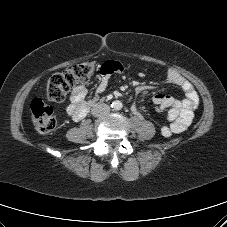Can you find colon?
<instances>
[{
    "label": "colon",
    "instance_id": "1",
    "mask_svg": "<svg viewBox=\"0 0 227 227\" xmlns=\"http://www.w3.org/2000/svg\"><path fill=\"white\" fill-rule=\"evenodd\" d=\"M96 68L97 65L94 61L87 60L70 69L52 75L47 82L46 88L48 100L62 103L66 94L72 88L78 84L90 81ZM31 119L34 127L41 134L51 133L57 127L53 108L40 98H35L31 103Z\"/></svg>",
    "mask_w": 227,
    "mask_h": 227
}]
</instances>
